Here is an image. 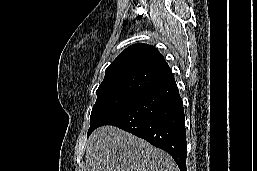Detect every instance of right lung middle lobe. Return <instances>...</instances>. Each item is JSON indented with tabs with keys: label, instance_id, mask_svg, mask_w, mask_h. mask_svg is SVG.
Returning a JSON list of instances; mask_svg holds the SVG:
<instances>
[{
	"label": "right lung middle lobe",
	"instance_id": "right-lung-middle-lobe-1",
	"mask_svg": "<svg viewBox=\"0 0 257 171\" xmlns=\"http://www.w3.org/2000/svg\"><path fill=\"white\" fill-rule=\"evenodd\" d=\"M145 90H147L145 86H108L98 88L96 92L97 100L92 108L91 124L87 135L89 136L110 115Z\"/></svg>",
	"mask_w": 257,
	"mask_h": 171
}]
</instances>
